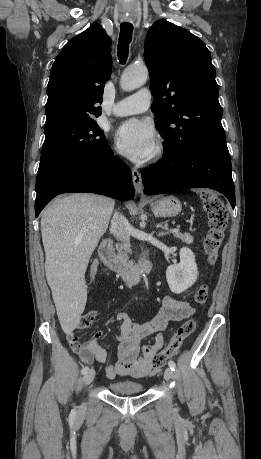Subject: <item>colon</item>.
Segmentation results:
<instances>
[{"label":"colon","instance_id":"5ec220e1","mask_svg":"<svg viewBox=\"0 0 261 459\" xmlns=\"http://www.w3.org/2000/svg\"><path fill=\"white\" fill-rule=\"evenodd\" d=\"M200 198L207 213L209 224V230L204 240V250L208 262L213 264L216 261L224 232L227 228L229 214L226 206L216 193L203 191L200 194ZM207 298L208 286L203 284L196 290L194 299L196 303L204 304ZM95 317V311L84 313L79 319L78 328L87 329L93 324ZM195 326L194 320H187L183 323L175 332L168 345L154 355L152 360L153 367L156 369L163 367L167 360L176 355L184 340L193 333Z\"/></svg>","mask_w":261,"mask_h":459}]
</instances>
